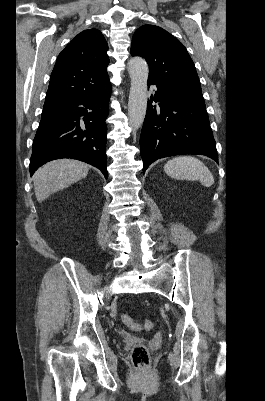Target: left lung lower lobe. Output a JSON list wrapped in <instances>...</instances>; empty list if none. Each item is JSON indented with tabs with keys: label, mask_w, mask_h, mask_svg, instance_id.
<instances>
[{
	"label": "left lung lower lobe",
	"mask_w": 265,
	"mask_h": 401,
	"mask_svg": "<svg viewBox=\"0 0 265 401\" xmlns=\"http://www.w3.org/2000/svg\"><path fill=\"white\" fill-rule=\"evenodd\" d=\"M151 98L160 109L148 103L140 137L143 173L157 159L174 155L201 154L218 162L202 92L157 86Z\"/></svg>",
	"instance_id": "1"
}]
</instances>
